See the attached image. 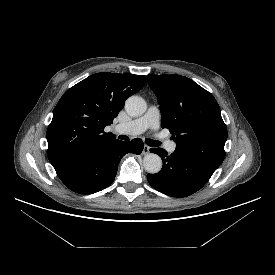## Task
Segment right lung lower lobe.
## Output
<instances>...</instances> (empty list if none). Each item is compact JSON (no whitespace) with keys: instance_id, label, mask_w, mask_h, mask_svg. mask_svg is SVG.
Here are the masks:
<instances>
[{"instance_id":"right-lung-lower-lobe-1","label":"right lung lower lobe","mask_w":275,"mask_h":275,"mask_svg":"<svg viewBox=\"0 0 275 275\" xmlns=\"http://www.w3.org/2000/svg\"><path fill=\"white\" fill-rule=\"evenodd\" d=\"M141 139L119 141L113 145L54 166L61 181L72 191L92 194L101 191L114 181L118 164L126 153L140 154Z\"/></svg>"}]
</instances>
